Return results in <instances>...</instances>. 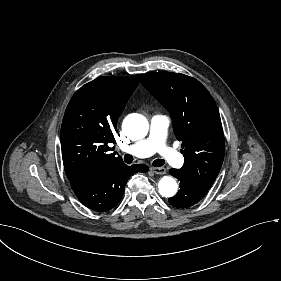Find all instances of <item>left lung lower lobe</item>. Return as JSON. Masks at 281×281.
Here are the masks:
<instances>
[{"mask_svg":"<svg viewBox=\"0 0 281 281\" xmlns=\"http://www.w3.org/2000/svg\"><path fill=\"white\" fill-rule=\"evenodd\" d=\"M169 172L180 181V190L174 197L168 199L169 203L175 207H190L199 202L209 190L180 169H170Z\"/></svg>","mask_w":281,"mask_h":281,"instance_id":"obj_1","label":"left lung lower lobe"}]
</instances>
